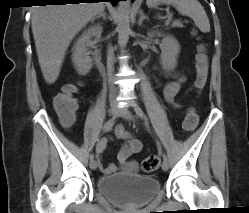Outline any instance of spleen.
<instances>
[{
    "label": "spleen",
    "instance_id": "3e777b00",
    "mask_svg": "<svg viewBox=\"0 0 249 213\" xmlns=\"http://www.w3.org/2000/svg\"><path fill=\"white\" fill-rule=\"evenodd\" d=\"M146 3L150 8L156 7L159 4L173 5L180 14L193 19L200 31L204 33L210 31L209 19L198 0H146Z\"/></svg>",
    "mask_w": 249,
    "mask_h": 213
}]
</instances>
